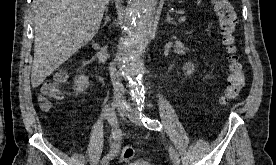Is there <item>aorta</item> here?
Wrapping results in <instances>:
<instances>
[{
  "mask_svg": "<svg viewBox=\"0 0 276 165\" xmlns=\"http://www.w3.org/2000/svg\"><path fill=\"white\" fill-rule=\"evenodd\" d=\"M158 0H129L125 23V37L121 43L119 65L133 87L136 99L142 100L144 90L139 76L144 71L141 53L152 35Z\"/></svg>",
  "mask_w": 276,
  "mask_h": 165,
  "instance_id": "obj_1",
  "label": "aorta"
}]
</instances>
